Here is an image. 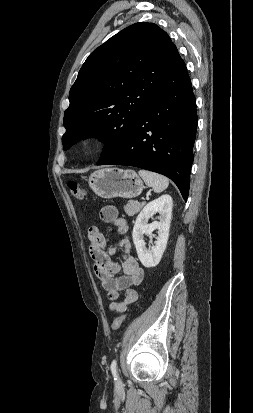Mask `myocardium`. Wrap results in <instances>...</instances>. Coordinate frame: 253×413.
<instances>
[{
	"mask_svg": "<svg viewBox=\"0 0 253 413\" xmlns=\"http://www.w3.org/2000/svg\"><path fill=\"white\" fill-rule=\"evenodd\" d=\"M95 142H96V140L93 139V140L90 141V144H94Z\"/></svg>",
	"mask_w": 253,
	"mask_h": 413,
	"instance_id": "myocardium-1",
	"label": "myocardium"
}]
</instances>
